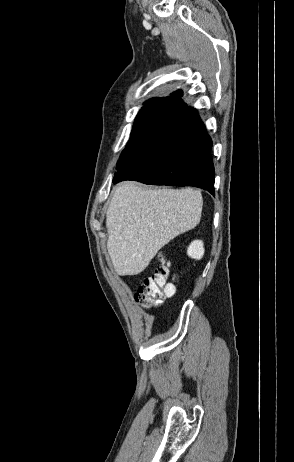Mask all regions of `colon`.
Returning <instances> with one entry per match:
<instances>
[{
	"mask_svg": "<svg viewBox=\"0 0 294 462\" xmlns=\"http://www.w3.org/2000/svg\"><path fill=\"white\" fill-rule=\"evenodd\" d=\"M169 264L161 259L155 272L144 280L135 293V301L145 308L158 305L163 299L172 297L176 288L168 282Z\"/></svg>",
	"mask_w": 294,
	"mask_h": 462,
	"instance_id": "5ec220e1",
	"label": "colon"
}]
</instances>
